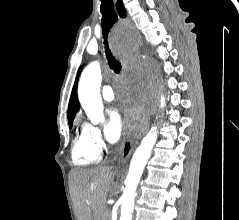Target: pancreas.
Listing matches in <instances>:
<instances>
[{
  "mask_svg": "<svg viewBox=\"0 0 239 220\" xmlns=\"http://www.w3.org/2000/svg\"><path fill=\"white\" fill-rule=\"evenodd\" d=\"M102 220H109V211L105 210L102 215Z\"/></svg>",
  "mask_w": 239,
  "mask_h": 220,
  "instance_id": "1",
  "label": "pancreas"
}]
</instances>
